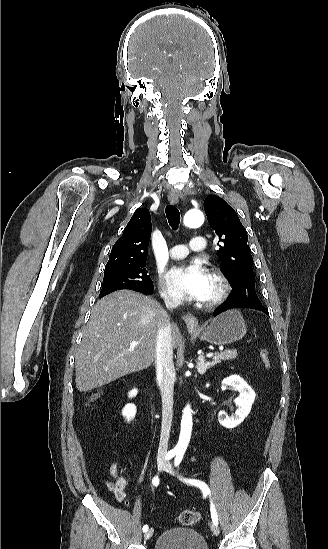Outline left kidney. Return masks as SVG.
Wrapping results in <instances>:
<instances>
[{"label":"left kidney","mask_w":328,"mask_h":549,"mask_svg":"<svg viewBox=\"0 0 328 549\" xmlns=\"http://www.w3.org/2000/svg\"><path fill=\"white\" fill-rule=\"evenodd\" d=\"M222 385H230V387H233V389H236V391L240 393L239 397H237L234 401L237 407L235 413H232L230 417L227 413H225V411H219L218 413V421L220 425H223L226 429H234V427L240 425V423L244 421L245 417L249 415L256 395L253 389H251V387L247 385L246 381H244L242 377H239V375H231V377H227V379L222 381Z\"/></svg>","instance_id":"1"}]
</instances>
